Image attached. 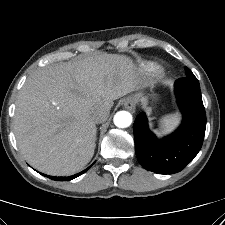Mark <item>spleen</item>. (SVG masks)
Masks as SVG:
<instances>
[{"mask_svg": "<svg viewBox=\"0 0 225 225\" xmlns=\"http://www.w3.org/2000/svg\"><path fill=\"white\" fill-rule=\"evenodd\" d=\"M180 117L177 113L164 116L160 121V128L163 132L169 133L179 123Z\"/></svg>", "mask_w": 225, "mask_h": 225, "instance_id": "1", "label": "spleen"}]
</instances>
